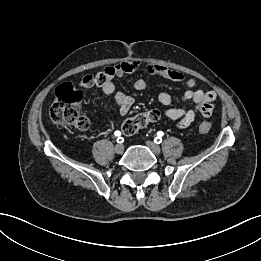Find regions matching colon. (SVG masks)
<instances>
[{
	"mask_svg": "<svg viewBox=\"0 0 261 261\" xmlns=\"http://www.w3.org/2000/svg\"><path fill=\"white\" fill-rule=\"evenodd\" d=\"M104 76L97 74L96 83L101 84ZM82 103V93L71 83L60 85L55 93L50 117L53 122L64 128H76L85 130L89 126L88 119L82 115L80 107ZM160 112L155 109L138 113L126 118L122 123V131L125 135H133L147 125L158 121ZM201 133H208L211 129L209 122H201L198 127Z\"/></svg>",
	"mask_w": 261,
	"mask_h": 261,
	"instance_id": "colon-1",
	"label": "colon"
}]
</instances>
